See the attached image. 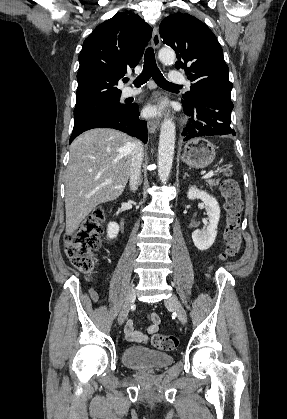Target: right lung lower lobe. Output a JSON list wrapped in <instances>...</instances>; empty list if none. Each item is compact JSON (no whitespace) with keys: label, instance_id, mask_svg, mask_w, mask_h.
Segmentation results:
<instances>
[{"label":"right lung lower lobe","instance_id":"1","mask_svg":"<svg viewBox=\"0 0 287 419\" xmlns=\"http://www.w3.org/2000/svg\"><path fill=\"white\" fill-rule=\"evenodd\" d=\"M93 128H113L147 142V123L139 119L138 106L129 105L127 111L100 112L74 123L71 143L78 135Z\"/></svg>","mask_w":287,"mask_h":419}]
</instances>
